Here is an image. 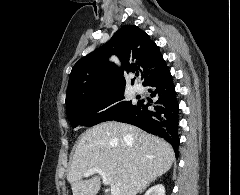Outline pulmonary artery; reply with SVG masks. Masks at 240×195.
<instances>
[{
    "label": "pulmonary artery",
    "mask_w": 240,
    "mask_h": 195,
    "mask_svg": "<svg viewBox=\"0 0 240 195\" xmlns=\"http://www.w3.org/2000/svg\"><path fill=\"white\" fill-rule=\"evenodd\" d=\"M133 90L139 94L143 93L144 92V87L141 85V84H135L133 86Z\"/></svg>",
    "instance_id": "obj_1"
}]
</instances>
